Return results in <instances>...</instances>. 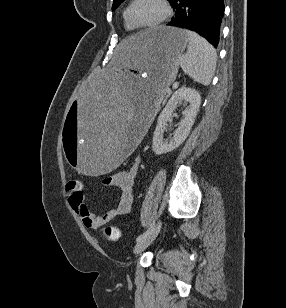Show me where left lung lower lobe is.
<instances>
[{
    "label": "left lung lower lobe",
    "mask_w": 286,
    "mask_h": 308,
    "mask_svg": "<svg viewBox=\"0 0 286 308\" xmlns=\"http://www.w3.org/2000/svg\"><path fill=\"white\" fill-rule=\"evenodd\" d=\"M170 4L176 15L167 25L195 31L217 47L223 0H172Z\"/></svg>",
    "instance_id": "1"
}]
</instances>
